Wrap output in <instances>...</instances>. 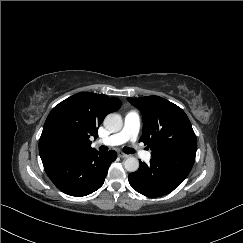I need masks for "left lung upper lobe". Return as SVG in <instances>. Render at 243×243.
<instances>
[{"mask_svg": "<svg viewBox=\"0 0 243 243\" xmlns=\"http://www.w3.org/2000/svg\"><path fill=\"white\" fill-rule=\"evenodd\" d=\"M127 99L142 113L140 142L151 149L152 157L172 151H196V135L180 107L159 96Z\"/></svg>", "mask_w": 243, "mask_h": 243, "instance_id": "obj_1", "label": "left lung upper lobe"}]
</instances>
